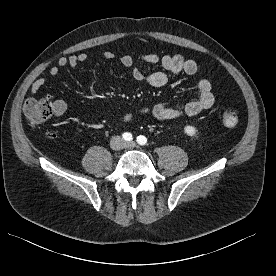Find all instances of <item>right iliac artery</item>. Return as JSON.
<instances>
[{
    "mask_svg": "<svg viewBox=\"0 0 276 276\" xmlns=\"http://www.w3.org/2000/svg\"><path fill=\"white\" fill-rule=\"evenodd\" d=\"M122 137H123V139H124L125 141H131V140L133 139L132 134L129 133V132L123 133Z\"/></svg>",
    "mask_w": 276,
    "mask_h": 276,
    "instance_id": "82829eb1",
    "label": "right iliac artery"
}]
</instances>
